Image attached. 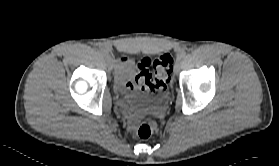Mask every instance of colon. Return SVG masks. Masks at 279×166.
Wrapping results in <instances>:
<instances>
[{"label":"colon","instance_id":"obj_1","mask_svg":"<svg viewBox=\"0 0 279 166\" xmlns=\"http://www.w3.org/2000/svg\"><path fill=\"white\" fill-rule=\"evenodd\" d=\"M152 67L153 72L149 70ZM173 57L169 53L158 56L155 60L143 58L135 64V85L148 93L164 91L171 78ZM157 123L154 119L144 120L138 128L137 134L147 139L156 131Z\"/></svg>","mask_w":279,"mask_h":166}]
</instances>
